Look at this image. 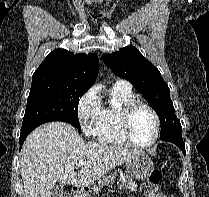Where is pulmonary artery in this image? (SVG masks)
Listing matches in <instances>:
<instances>
[{
  "label": "pulmonary artery",
  "mask_w": 209,
  "mask_h": 197,
  "mask_svg": "<svg viewBox=\"0 0 209 197\" xmlns=\"http://www.w3.org/2000/svg\"><path fill=\"white\" fill-rule=\"evenodd\" d=\"M114 85L115 86H126V87H130V84L127 81L122 80V79L116 80V82H115Z\"/></svg>",
  "instance_id": "e3ab8cb5"
}]
</instances>
